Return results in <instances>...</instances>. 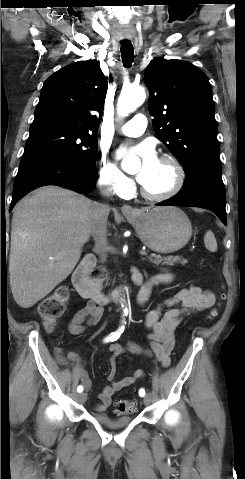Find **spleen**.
Returning <instances> with one entry per match:
<instances>
[{"label":"spleen","mask_w":245,"mask_h":479,"mask_svg":"<svg viewBox=\"0 0 245 479\" xmlns=\"http://www.w3.org/2000/svg\"><path fill=\"white\" fill-rule=\"evenodd\" d=\"M204 244L209 251L211 252L217 251V242L212 231L208 230L206 232L204 236Z\"/></svg>","instance_id":"spleen-1"}]
</instances>
